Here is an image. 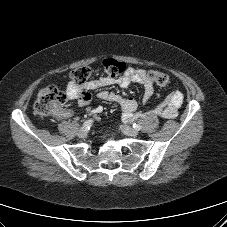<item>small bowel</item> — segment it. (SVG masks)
Returning a JSON list of instances; mask_svg holds the SVG:
<instances>
[{
  "mask_svg": "<svg viewBox=\"0 0 227 227\" xmlns=\"http://www.w3.org/2000/svg\"><path fill=\"white\" fill-rule=\"evenodd\" d=\"M131 84H139L143 87V102L148 104L154 96V85L148 74L144 70L129 68L126 72L118 77H99L77 85L74 82H69L66 87V93L69 99L75 100L80 106H86L91 101V91H96V96L103 101H108L117 104L123 113V118L130 121L134 118V113L137 110L138 103L134 99L123 98L120 95L109 92L104 88L111 85H119L122 88H127ZM183 102V94L179 91L170 93L163 101L158 103L153 111L163 118L173 119L178 114V108ZM72 113L65 111L61 114L62 117H70Z\"/></svg>",
  "mask_w": 227,
  "mask_h": 227,
  "instance_id": "1",
  "label": "small bowel"
}]
</instances>
